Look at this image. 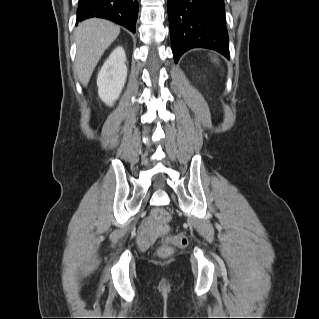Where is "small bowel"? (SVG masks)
I'll list each match as a JSON object with an SVG mask.
<instances>
[{
	"label": "small bowel",
	"instance_id": "1",
	"mask_svg": "<svg viewBox=\"0 0 319 319\" xmlns=\"http://www.w3.org/2000/svg\"><path fill=\"white\" fill-rule=\"evenodd\" d=\"M141 230H142V231H145V228H144V227H142V228H141ZM145 238H147V236H146V235H145Z\"/></svg>",
	"mask_w": 319,
	"mask_h": 319
}]
</instances>
